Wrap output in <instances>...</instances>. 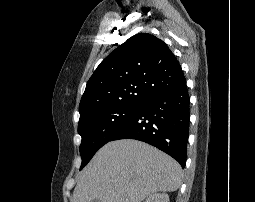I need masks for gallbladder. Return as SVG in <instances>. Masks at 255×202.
Instances as JSON below:
<instances>
[{"label": "gallbladder", "instance_id": "bac80fb5", "mask_svg": "<svg viewBox=\"0 0 255 202\" xmlns=\"http://www.w3.org/2000/svg\"><path fill=\"white\" fill-rule=\"evenodd\" d=\"M92 202H100L99 200H93Z\"/></svg>", "mask_w": 255, "mask_h": 202}]
</instances>
